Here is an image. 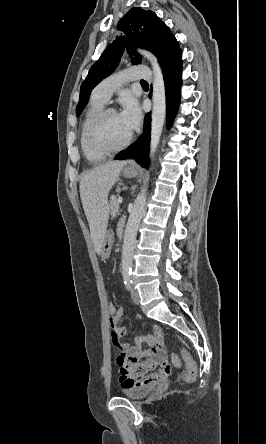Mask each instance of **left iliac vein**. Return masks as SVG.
Returning a JSON list of instances; mask_svg holds the SVG:
<instances>
[{"label":"left iliac vein","mask_w":266,"mask_h":444,"mask_svg":"<svg viewBox=\"0 0 266 444\" xmlns=\"http://www.w3.org/2000/svg\"><path fill=\"white\" fill-rule=\"evenodd\" d=\"M131 298H132V301H133L136 305H138V304L140 303L139 292H138L136 289H134V288L131 289Z\"/></svg>","instance_id":"left-iliac-vein-1"}]
</instances>
